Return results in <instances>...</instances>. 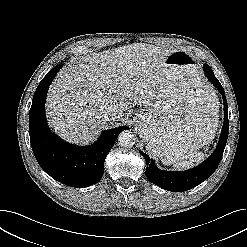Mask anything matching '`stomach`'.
Returning a JSON list of instances; mask_svg holds the SVG:
<instances>
[{"instance_id": "obj_1", "label": "stomach", "mask_w": 247, "mask_h": 247, "mask_svg": "<svg viewBox=\"0 0 247 247\" xmlns=\"http://www.w3.org/2000/svg\"><path fill=\"white\" fill-rule=\"evenodd\" d=\"M164 65L169 71L166 84L151 107L137 114L136 129L147 149L169 165L188 158L213 138L218 99L191 54L176 50Z\"/></svg>"}]
</instances>
